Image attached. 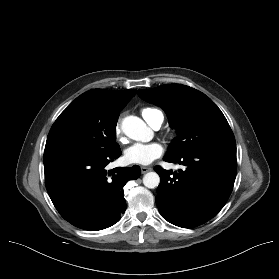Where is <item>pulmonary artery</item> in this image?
Segmentation results:
<instances>
[{
	"mask_svg": "<svg viewBox=\"0 0 279 279\" xmlns=\"http://www.w3.org/2000/svg\"><path fill=\"white\" fill-rule=\"evenodd\" d=\"M163 122V115L159 112L153 119L151 126L154 129H158Z\"/></svg>",
	"mask_w": 279,
	"mask_h": 279,
	"instance_id": "pulmonary-artery-1",
	"label": "pulmonary artery"
}]
</instances>
